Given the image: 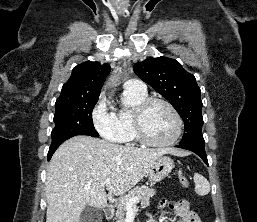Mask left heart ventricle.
I'll use <instances>...</instances> for the list:
<instances>
[{"instance_id":"left-heart-ventricle-1","label":"left heart ventricle","mask_w":257,"mask_h":222,"mask_svg":"<svg viewBox=\"0 0 257 222\" xmlns=\"http://www.w3.org/2000/svg\"><path fill=\"white\" fill-rule=\"evenodd\" d=\"M144 128L148 137L163 142L171 139L176 131L173 114L163 104H154L144 119Z\"/></svg>"}]
</instances>
